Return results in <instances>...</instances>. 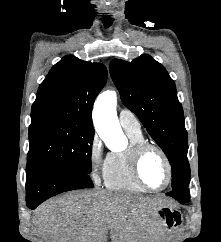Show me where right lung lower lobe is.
I'll use <instances>...</instances> for the list:
<instances>
[{
    "label": "right lung lower lobe",
    "instance_id": "right-lung-lower-lobe-1",
    "mask_svg": "<svg viewBox=\"0 0 221 242\" xmlns=\"http://www.w3.org/2000/svg\"><path fill=\"white\" fill-rule=\"evenodd\" d=\"M92 187L89 175L83 172L50 165L26 168V204L30 209L59 193Z\"/></svg>",
    "mask_w": 221,
    "mask_h": 242
}]
</instances>
